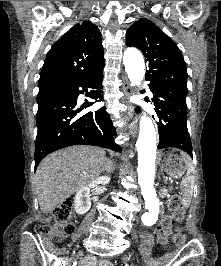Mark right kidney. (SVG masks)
I'll use <instances>...</instances> for the list:
<instances>
[{
	"label": "right kidney",
	"instance_id": "right-kidney-1",
	"mask_svg": "<svg viewBox=\"0 0 221 266\" xmlns=\"http://www.w3.org/2000/svg\"><path fill=\"white\" fill-rule=\"evenodd\" d=\"M110 182V177L102 176L93 180L88 187L79 189L74 198L75 210L78 214L86 213L91 207L90 188L97 184L106 185Z\"/></svg>",
	"mask_w": 221,
	"mask_h": 266
}]
</instances>
